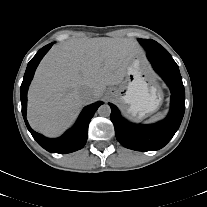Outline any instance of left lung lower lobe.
<instances>
[{
	"instance_id": "1",
	"label": "left lung lower lobe",
	"mask_w": 207,
	"mask_h": 207,
	"mask_svg": "<svg viewBox=\"0 0 207 207\" xmlns=\"http://www.w3.org/2000/svg\"><path fill=\"white\" fill-rule=\"evenodd\" d=\"M154 70L163 78L171 90V107L168 116L152 125H137L126 121L117 107H111L110 119L115 135L121 145L136 151H152L163 148L178 130L185 111V91L178 65L165 52H147Z\"/></svg>"
}]
</instances>
